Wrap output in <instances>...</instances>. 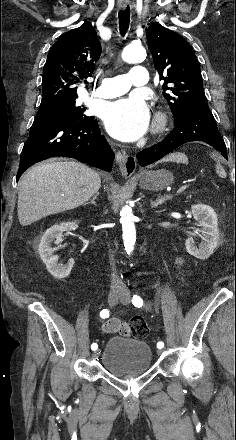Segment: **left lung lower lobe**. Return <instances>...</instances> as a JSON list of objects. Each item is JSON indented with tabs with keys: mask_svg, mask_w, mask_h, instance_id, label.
<instances>
[{
	"mask_svg": "<svg viewBox=\"0 0 236 440\" xmlns=\"http://www.w3.org/2000/svg\"><path fill=\"white\" fill-rule=\"evenodd\" d=\"M191 141H203L221 152L227 159L225 142L220 135L216 121L208 104L192 106L181 120L175 123L174 129L166 138L138 153L140 166H146L158 161L180 145Z\"/></svg>",
	"mask_w": 236,
	"mask_h": 440,
	"instance_id": "1",
	"label": "left lung lower lobe"
}]
</instances>
